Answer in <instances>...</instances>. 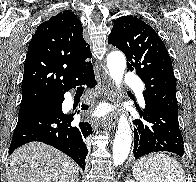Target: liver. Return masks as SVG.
<instances>
[{
  "label": "liver",
  "instance_id": "1",
  "mask_svg": "<svg viewBox=\"0 0 196 182\" xmlns=\"http://www.w3.org/2000/svg\"><path fill=\"white\" fill-rule=\"evenodd\" d=\"M78 176L71 158L40 142L19 147L6 163L7 182H77Z\"/></svg>",
  "mask_w": 196,
  "mask_h": 182
}]
</instances>
